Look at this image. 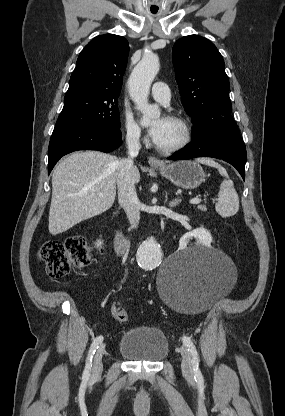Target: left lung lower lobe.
Instances as JSON below:
<instances>
[{"label":"left lung lower lobe","instance_id":"left-lung-lower-lobe-1","mask_svg":"<svg viewBox=\"0 0 285 416\" xmlns=\"http://www.w3.org/2000/svg\"><path fill=\"white\" fill-rule=\"evenodd\" d=\"M213 157L232 164L245 180L246 147L237 126H224L193 138L185 148L169 160Z\"/></svg>","mask_w":285,"mask_h":416}]
</instances>
